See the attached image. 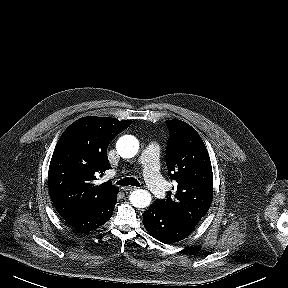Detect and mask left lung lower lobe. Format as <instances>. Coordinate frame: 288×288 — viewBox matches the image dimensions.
<instances>
[{"instance_id":"1","label":"left lung lower lobe","mask_w":288,"mask_h":288,"mask_svg":"<svg viewBox=\"0 0 288 288\" xmlns=\"http://www.w3.org/2000/svg\"><path fill=\"white\" fill-rule=\"evenodd\" d=\"M143 225L153 237L167 244L185 239L196 226L161 209L156 202L144 212Z\"/></svg>"}]
</instances>
